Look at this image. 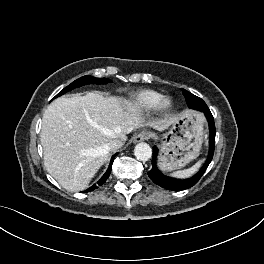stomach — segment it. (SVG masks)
<instances>
[{"mask_svg":"<svg viewBox=\"0 0 264 264\" xmlns=\"http://www.w3.org/2000/svg\"><path fill=\"white\" fill-rule=\"evenodd\" d=\"M204 118L201 114L185 111L161 137L159 166L164 170L184 167L195 159L203 142Z\"/></svg>","mask_w":264,"mask_h":264,"instance_id":"0dacf381","label":"stomach"}]
</instances>
